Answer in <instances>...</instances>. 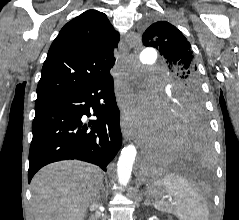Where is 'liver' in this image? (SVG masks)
<instances>
[{"label": "liver", "instance_id": "liver-1", "mask_svg": "<svg viewBox=\"0 0 239 220\" xmlns=\"http://www.w3.org/2000/svg\"><path fill=\"white\" fill-rule=\"evenodd\" d=\"M102 179L98 167L81 161L45 166L31 182L35 220H82Z\"/></svg>", "mask_w": 239, "mask_h": 220}]
</instances>
